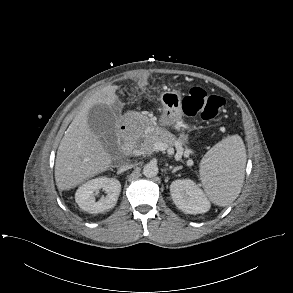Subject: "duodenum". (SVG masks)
<instances>
[{"label": "duodenum", "instance_id": "410a0bca", "mask_svg": "<svg viewBox=\"0 0 293 293\" xmlns=\"http://www.w3.org/2000/svg\"><path fill=\"white\" fill-rule=\"evenodd\" d=\"M120 134L127 138L128 140L124 143L123 145V151L126 153L131 152L132 148H133V142L130 139V136L132 134V131L130 129V126L127 122V118H123L121 124H120Z\"/></svg>", "mask_w": 293, "mask_h": 293}]
</instances>
